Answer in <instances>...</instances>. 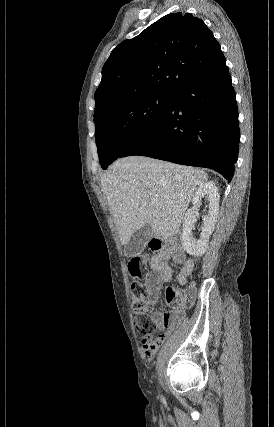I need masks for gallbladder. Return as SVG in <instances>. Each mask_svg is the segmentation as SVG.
<instances>
[{
    "label": "gallbladder",
    "mask_w": 274,
    "mask_h": 427,
    "mask_svg": "<svg viewBox=\"0 0 274 427\" xmlns=\"http://www.w3.org/2000/svg\"><path fill=\"white\" fill-rule=\"evenodd\" d=\"M151 225H145L141 229H137L133 235H131L128 243L124 245V255L126 257H133V255H139L147 245L150 237H152Z\"/></svg>",
    "instance_id": "1"
}]
</instances>
